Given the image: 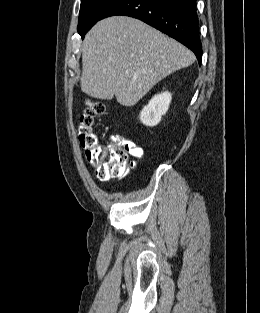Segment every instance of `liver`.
Here are the masks:
<instances>
[{
	"label": "liver",
	"instance_id": "1",
	"mask_svg": "<svg viewBox=\"0 0 260 313\" xmlns=\"http://www.w3.org/2000/svg\"><path fill=\"white\" fill-rule=\"evenodd\" d=\"M195 61V55L144 22L114 16L96 23L82 44L81 90L135 105L160 80Z\"/></svg>",
	"mask_w": 260,
	"mask_h": 313
}]
</instances>
